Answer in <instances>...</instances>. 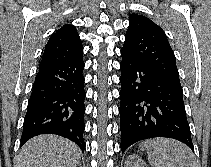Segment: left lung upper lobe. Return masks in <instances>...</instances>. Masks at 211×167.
I'll use <instances>...</instances> for the list:
<instances>
[{
  "mask_svg": "<svg viewBox=\"0 0 211 167\" xmlns=\"http://www.w3.org/2000/svg\"><path fill=\"white\" fill-rule=\"evenodd\" d=\"M129 22L121 51L150 67L171 84L181 87L176 58L163 29L138 14L129 15Z\"/></svg>",
  "mask_w": 211,
  "mask_h": 167,
  "instance_id": "obj_1",
  "label": "left lung upper lobe"
}]
</instances>
